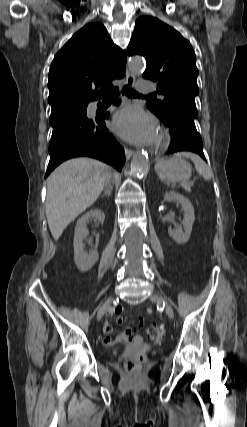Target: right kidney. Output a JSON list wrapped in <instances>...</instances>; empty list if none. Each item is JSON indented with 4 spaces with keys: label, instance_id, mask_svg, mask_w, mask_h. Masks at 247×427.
Wrapping results in <instances>:
<instances>
[{
    "label": "right kidney",
    "instance_id": "right-kidney-1",
    "mask_svg": "<svg viewBox=\"0 0 247 427\" xmlns=\"http://www.w3.org/2000/svg\"><path fill=\"white\" fill-rule=\"evenodd\" d=\"M90 219L98 220L100 223H104L105 214L103 211L99 209H94L87 212L81 218L78 219L76 227H75V235H74V262L77 268L81 272H86L92 268V266L98 261V253L97 246L98 242H96L95 249L91 250L89 253L84 251L83 240L88 235V230L86 223L89 222Z\"/></svg>",
    "mask_w": 247,
    "mask_h": 427
}]
</instances>
